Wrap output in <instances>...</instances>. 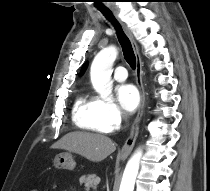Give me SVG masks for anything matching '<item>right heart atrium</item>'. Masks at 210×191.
Masks as SVG:
<instances>
[{
	"label": "right heart atrium",
	"instance_id": "right-heart-atrium-1",
	"mask_svg": "<svg viewBox=\"0 0 210 191\" xmlns=\"http://www.w3.org/2000/svg\"><path fill=\"white\" fill-rule=\"evenodd\" d=\"M97 103L101 117L106 124L111 128H118L124 120V115L119 106L113 101L101 98L97 99Z\"/></svg>",
	"mask_w": 210,
	"mask_h": 191
}]
</instances>
